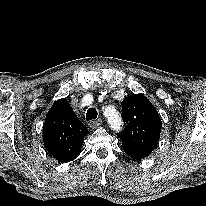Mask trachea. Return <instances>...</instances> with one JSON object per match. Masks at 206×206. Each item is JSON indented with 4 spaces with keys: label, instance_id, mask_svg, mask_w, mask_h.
<instances>
[{
    "label": "trachea",
    "instance_id": "1",
    "mask_svg": "<svg viewBox=\"0 0 206 206\" xmlns=\"http://www.w3.org/2000/svg\"><path fill=\"white\" fill-rule=\"evenodd\" d=\"M97 110L95 108H89L86 113L87 121L95 120L97 118Z\"/></svg>",
    "mask_w": 206,
    "mask_h": 206
}]
</instances>
